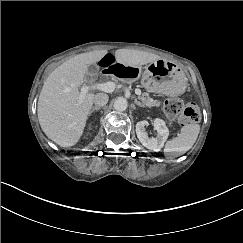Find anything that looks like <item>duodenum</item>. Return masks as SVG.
I'll return each instance as SVG.
<instances>
[{
    "instance_id": "obj_1",
    "label": "duodenum",
    "mask_w": 243,
    "mask_h": 243,
    "mask_svg": "<svg viewBox=\"0 0 243 243\" xmlns=\"http://www.w3.org/2000/svg\"><path fill=\"white\" fill-rule=\"evenodd\" d=\"M137 73L138 72L135 67L126 63H118L103 70V74L120 80L135 78L137 76Z\"/></svg>"
}]
</instances>
